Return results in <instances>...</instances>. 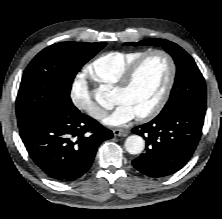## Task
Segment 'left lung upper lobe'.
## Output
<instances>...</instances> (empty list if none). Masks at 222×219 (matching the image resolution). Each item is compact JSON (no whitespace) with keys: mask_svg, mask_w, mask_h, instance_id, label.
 Here are the masks:
<instances>
[{"mask_svg":"<svg viewBox=\"0 0 222 219\" xmlns=\"http://www.w3.org/2000/svg\"><path fill=\"white\" fill-rule=\"evenodd\" d=\"M128 46L154 45L163 48L173 57L176 66V79L170 99L162 111L177 104H188L199 109H206V86L204 78L193 58L180 46L164 39H146L128 42Z\"/></svg>","mask_w":222,"mask_h":219,"instance_id":"left-lung-upper-lobe-1","label":"left lung upper lobe"}]
</instances>
